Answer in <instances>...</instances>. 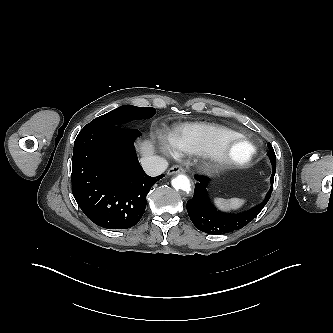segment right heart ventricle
<instances>
[{"mask_svg":"<svg viewBox=\"0 0 333 333\" xmlns=\"http://www.w3.org/2000/svg\"><path fill=\"white\" fill-rule=\"evenodd\" d=\"M236 135L224 126L211 123H186L178 126L170 135L175 150L189 154H202L218 141Z\"/></svg>","mask_w":333,"mask_h":333,"instance_id":"right-heart-ventricle-1","label":"right heart ventricle"}]
</instances>
